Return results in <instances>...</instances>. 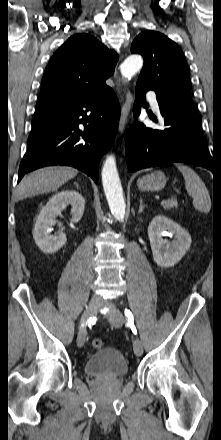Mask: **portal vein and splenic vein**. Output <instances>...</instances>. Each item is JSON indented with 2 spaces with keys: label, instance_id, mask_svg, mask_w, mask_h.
Returning <instances> with one entry per match:
<instances>
[{
  "label": "portal vein and splenic vein",
  "instance_id": "1",
  "mask_svg": "<svg viewBox=\"0 0 221 440\" xmlns=\"http://www.w3.org/2000/svg\"><path fill=\"white\" fill-rule=\"evenodd\" d=\"M165 202H166V200H165V199H163V200H162V202H161V204H163V203H165Z\"/></svg>",
  "mask_w": 221,
  "mask_h": 440
}]
</instances>
